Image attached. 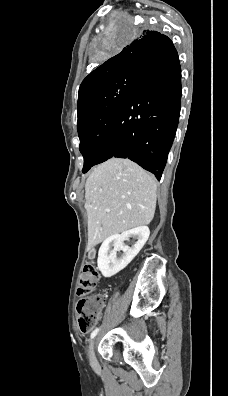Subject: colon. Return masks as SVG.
Wrapping results in <instances>:
<instances>
[{
	"instance_id": "5ec220e1",
	"label": "colon",
	"mask_w": 228,
	"mask_h": 396,
	"mask_svg": "<svg viewBox=\"0 0 228 396\" xmlns=\"http://www.w3.org/2000/svg\"><path fill=\"white\" fill-rule=\"evenodd\" d=\"M100 279L97 267L93 263L84 266L81 271L77 293L82 298L77 303L78 325L83 333L89 332L97 322L100 311L104 305L101 295H89Z\"/></svg>"
}]
</instances>
